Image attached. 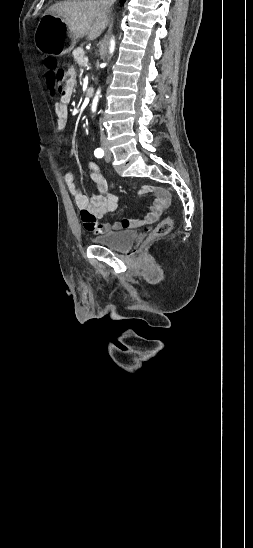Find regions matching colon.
I'll return each mask as SVG.
<instances>
[{
    "label": "colon",
    "instance_id": "1",
    "mask_svg": "<svg viewBox=\"0 0 253 548\" xmlns=\"http://www.w3.org/2000/svg\"><path fill=\"white\" fill-rule=\"evenodd\" d=\"M50 67L48 72V84L47 87L50 91L65 93L67 85V77L65 72L61 68H57L52 60L47 62ZM172 227V223L169 219L161 221L152 233V237H159L167 234Z\"/></svg>",
    "mask_w": 253,
    "mask_h": 548
}]
</instances>
